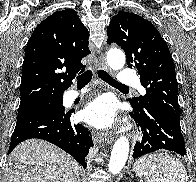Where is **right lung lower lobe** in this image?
<instances>
[{"label":"right lung lower lobe","instance_id":"obj_1","mask_svg":"<svg viewBox=\"0 0 196 182\" xmlns=\"http://www.w3.org/2000/svg\"><path fill=\"white\" fill-rule=\"evenodd\" d=\"M73 111L42 112L17 120L8 154L22 141L39 138L49 141L86 168V156L93 147L90 131L81 124H73Z\"/></svg>","mask_w":196,"mask_h":182}]
</instances>
